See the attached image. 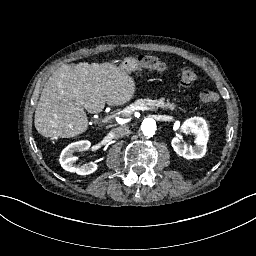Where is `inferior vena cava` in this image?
Returning <instances> with one entry per match:
<instances>
[{"instance_id":"obj_1","label":"inferior vena cava","mask_w":256,"mask_h":256,"mask_svg":"<svg viewBox=\"0 0 256 256\" xmlns=\"http://www.w3.org/2000/svg\"><path fill=\"white\" fill-rule=\"evenodd\" d=\"M112 133H113L115 138L124 137L126 134L129 133V128L125 125L124 126H118V127H115L112 130Z\"/></svg>"}]
</instances>
